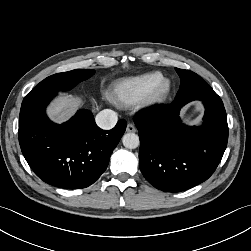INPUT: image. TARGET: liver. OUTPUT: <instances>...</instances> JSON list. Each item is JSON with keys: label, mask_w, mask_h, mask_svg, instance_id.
<instances>
[{"label": "liver", "mask_w": 251, "mask_h": 251, "mask_svg": "<svg viewBox=\"0 0 251 251\" xmlns=\"http://www.w3.org/2000/svg\"><path fill=\"white\" fill-rule=\"evenodd\" d=\"M48 114L56 120H65L70 116L71 109L65 99H59L48 108Z\"/></svg>", "instance_id": "1"}]
</instances>
